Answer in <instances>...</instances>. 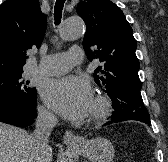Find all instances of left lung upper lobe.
<instances>
[{
    "label": "left lung upper lobe",
    "mask_w": 168,
    "mask_h": 162,
    "mask_svg": "<svg viewBox=\"0 0 168 162\" xmlns=\"http://www.w3.org/2000/svg\"><path fill=\"white\" fill-rule=\"evenodd\" d=\"M76 9L86 24L85 53L90 61L98 58L102 63L94 71L97 85L111 98L140 93L137 43L120 8L108 0H85Z\"/></svg>",
    "instance_id": "obj_1"
}]
</instances>
